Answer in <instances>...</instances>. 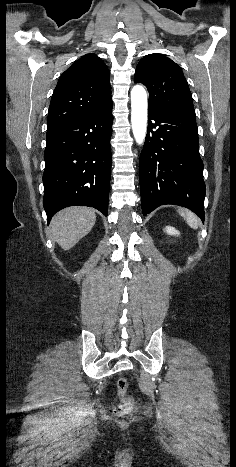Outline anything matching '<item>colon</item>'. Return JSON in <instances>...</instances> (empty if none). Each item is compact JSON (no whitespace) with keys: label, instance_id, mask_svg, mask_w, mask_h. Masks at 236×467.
I'll use <instances>...</instances> for the list:
<instances>
[{"label":"colon","instance_id":"obj_1","mask_svg":"<svg viewBox=\"0 0 236 467\" xmlns=\"http://www.w3.org/2000/svg\"><path fill=\"white\" fill-rule=\"evenodd\" d=\"M127 388V380L125 378H120L117 382V393L122 402L113 409L116 416H124L134 407V400L127 395Z\"/></svg>","mask_w":236,"mask_h":467}]
</instances>
